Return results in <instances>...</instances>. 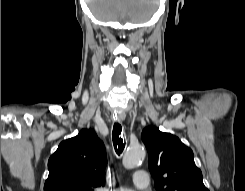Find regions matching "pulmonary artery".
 I'll list each match as a JSON object with an SVG mask.
<instances>
[{
	"mask_svg": "<svg viewBox=\"0 0 245 191\" xmlns=\"http://www.w3.org/2000/svg\"><path fill=\"white\" fill-rule=\"evenodd\" d=\"M149 174L145 170H137L133 175V184L137 189H146L149 186ZM114 191H133L129 188H120Z\"/></svg>",
	"mask_w": 245,
	"mask_h": 191,
	"instance_id": "obj_1",
	"label": "pulmonary artery"
}]
</instances>
